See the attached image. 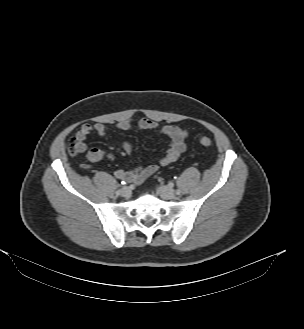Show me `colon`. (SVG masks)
<instances>
[{"instance_id":"5ec220e1","label":"colon","mask_w":304,"mask_h":329,"mask_svg":"<svg viewBox=\"0 0 304 329\" xmlns=\"http://www.w3.org/2000/svg\"><path fill=\"white\" fill-rule=\"evenodd\" d=\"M198 141L200 145L206 148H210L213 145L212 139L206 135L200 134L198 136ZM68 152L70 153V155H76L80 152V144L76 141L75 138H71L68 141Z\"/></svg>"}]
</instances>
